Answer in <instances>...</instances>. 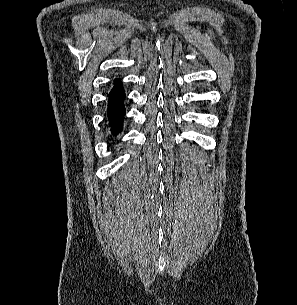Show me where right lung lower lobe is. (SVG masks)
I'll return each mask as SVG.
<instances>
[{
	"label": "right lung lower lobe",
	"mask_w": 297,
	"mask_h": 305,
	"mask_svg": "<svg viewBox=\"0 0 297 305\" xmlns=\"http://www.w3.org/2000/svg\"><path fill=\"white\" fill-rule=\"evenodd\" d=\"M125 91L122 87V83L116 79L114 81V87L111 90L108 101V120L109 126L112 128L113 135L118 134L123 127V119L125 115L124 101Z\"/></svg>",
	"instance_id": "obj_1"
}]
</instances>
